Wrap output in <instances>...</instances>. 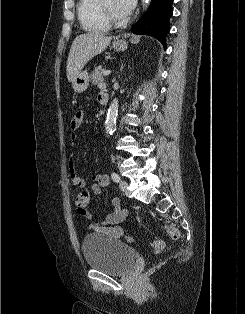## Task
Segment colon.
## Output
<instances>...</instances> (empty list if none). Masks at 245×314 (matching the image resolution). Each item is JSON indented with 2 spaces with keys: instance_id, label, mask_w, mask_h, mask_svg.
<instances>
[{
  "instance_id": "1",
  "label": "colon",
  "mask_w": 245,
  "mask_h": 314,
  "mask_svg": "<svg viewBox=\"0 0 245 314\" xmlns=\"http://www.w3.org/2000/svg\"><path fill=\"white\" fill-rule=\"evenodd\" d=\"M89 200L90 195L87 191H81L75 196L74 202L78 208V212L84 213L87 210L86 208L89 204ZM165 229L172 239L178 240L180 238V232L176 227L172 225H166ZM126 240L129 242L133 241V239L129 236L126 237ZM152 247L156 252H160L164 249L165 243L161 239H154L152 241Z\"/></svg>"
}]
</instances>
